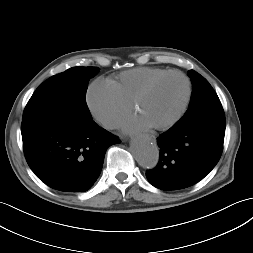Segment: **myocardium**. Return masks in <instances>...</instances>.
<instances>
[{"label": "myocardium", "mask_w": 253, "mask_h": 253, "mask_svg": "<svg viewBox=\"0 0 253 253\" xmlns=\"http://www.w3.org/2000/svg\"><path fill=\"white\" fill-rule=\"evenodd\" d=\"M171 75H179L181 76L186 83V94H185V98L184 101L180 107V109L178 110V112L176 113V115L170 119L168 122L164 123V124H160V125H153L152 127L156 130H167L171 127H173L174 125H176L184 116V114L187 111V108L189 106L190 100H191V96H192V83L190 78L182 71L180 70H168L164 73H162L161 75H158L157 77L153 78L152 80H150L133 98L132 102H131V108L132 110L136 111V107L138 105V103L164 78L171 76Z\"/></svg>", "instance_id": "obj_1"}]
</instances>
